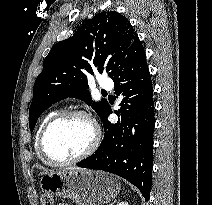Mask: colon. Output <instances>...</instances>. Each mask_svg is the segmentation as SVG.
Returning <instances> with one entry per match:
<instances>
[{
	"instance_id": "colon-1",
	"label": "colon",
	"mask_w": 212,
	"mask_h": 205,
	"mask_svg": "<svg viewBox=\"0 0 212 205\" xmlns=\"http://www.w3.org/2000/svg\"><path fill=\"white\" fill-rule=\"evenodd\" d=\"M41 205H53V198L50 194L44 193L41 196Z\"/></svg>"
}]
</instances>
